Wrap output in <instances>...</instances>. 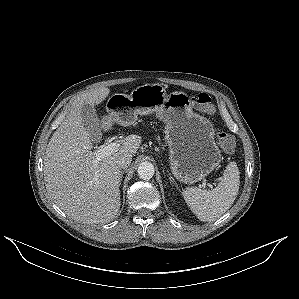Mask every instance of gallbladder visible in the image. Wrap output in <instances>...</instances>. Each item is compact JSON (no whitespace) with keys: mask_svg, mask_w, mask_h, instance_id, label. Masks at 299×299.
<instances>
[{"mask_svg":"<svg viewBox=\"0 0 299 299\" xmlns=\"http://www.w3.org/2000/svg\"><path fill=\"white\" fill-rule=\"evenodd\" d=\"M82 121L84 128L90 133L91 138L94 140L99 139L101 135L100 121L95 109L89 104H85L82 108Z\"/></svg>","mask_w":299,"mask_h":299,"instance_id":"gallbladder-1","label":"gallbladder"}]
</instances>
